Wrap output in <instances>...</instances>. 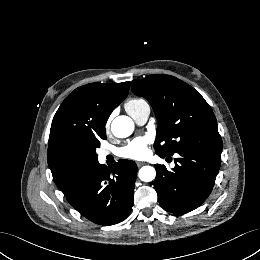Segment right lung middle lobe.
I'll use <instances>...</instances> for the list:
<instances>
[{
  "mask_svg": "<svg viewBox=\"0 0 260 260\" xmlns=\"http://www.w3.org/2000/svg\"><path fill=\"white\" fill-rule=\"evenodd\" d=\"M100 138L106 139L105 131L99 137L95 138L90 145L89 153H90V160H91V163H92L93 166L98 164V158H97V155H96V148L100 146V142H99Z\"/></svg>",
  "mask_w": 260,
  "mask_h": 260,
  "instance_id": "dd1d6c3e",
  "label": "right lung middle lobe"
}]
</instances>
